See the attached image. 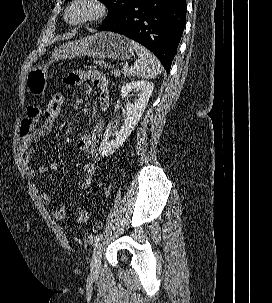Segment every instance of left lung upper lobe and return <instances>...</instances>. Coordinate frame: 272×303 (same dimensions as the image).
<instances>
[{"label": "left lung upper lobe", "mask_w": 272, "mask_h": 303, "mask_svg": "<svg viewBox=\"0 0 272 303\" xmlns=\"http://www.w3.org/2000/svg\"><path fill=\"white\" fill-rule=\"evenodd\" d=\"M68 1V0H66ZM109 7V14L105 18L104 22L112 20L113 18L123 14L138 0H102Z\"/></svg>", "instance_id": "left-lung-upper-lobe-1"}]
</instances>
